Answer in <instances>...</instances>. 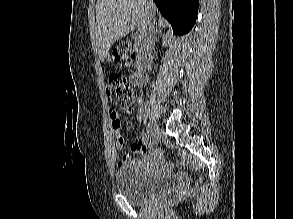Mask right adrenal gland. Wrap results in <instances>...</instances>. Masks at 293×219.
Listing matches in <instances>:
<instances>
[{"instance_id": "right-adrenal-gland-1", "label": "right adrenal gland", "mask_w": 293, "mask_h": 219, "mask_svg": "<svg viewBox=\"0 0 293 219\" xmlns=\"http://www.w3.org/2000/svg\"><path fill=\"white\" fill-rule=\"evenodd\" d=\"M155 30V29H154ZM155 33V32H154ZM157 34V32H156ZM157 38H154V41H153V47L155 46V42H156Z\"/></svg>"}]
</instances>
